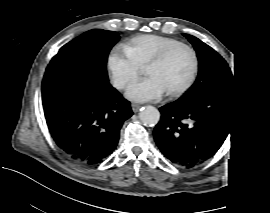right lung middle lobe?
I'll use <instances>...</instances> for the list:
<instances>
[{
    "instance_id": "obj_1",
    "label": "right lung middle lobe",
    "mask_w": 270,
    "mask_h": 213,
    "mask_svg": "<svg viewBox=\"0 0 270 213\" xmlns=\"http://www.w3.org/2000/svg\"><path fill=\"white\" fill-rule=\"evenodd\" d=\"M119 40L117 32L93 29L60 48L46 68L45 75L84 74L108 82V53Z\"/></svg>"
}]
</instances>
